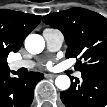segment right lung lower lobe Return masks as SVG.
Instances as JSON below:
<instances>
[{
    "label": "right lung lower lobe",
    "instance_id": "right-lung-lower-lobe-1",
    "mask_svg": "<svg viewBox=\"0 0 107 107\" xmlns=\"http://www.w3.org/2000/svg\"><path fill=\"white\" fill-rule=\"evenodd\" d=\"M9 73V68L0 71V107H29L33 101L34 87L44 75L30 72L11 78Z\"/></svg>",
    "mask_w": 107,
    "mask_h": 107
}]
</instances>
